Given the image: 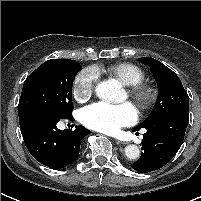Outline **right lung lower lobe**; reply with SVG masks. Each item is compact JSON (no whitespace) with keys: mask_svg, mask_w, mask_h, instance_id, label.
I'll use <instances>...</instances> for the list:
<instances>
[{"mask_svg":"<svg viewBox=\"0 0 201 201\" xmlns=\"http://www.w3.org/2000/svg\"><path fill=\"white\" fill-rule=\"evenodd\" d=\"M73 119L72 116L67 117ZM60 118L46 111L31 112L19 119L25 145L40 163L52 169L63 168L77 160L81 140L90 133L82 126L59 130Z\"/></svg>","mask_w":201,"mask_h":201,"instance_id":"obj_1","label":"right lung lower lobe"}]
</instances>
